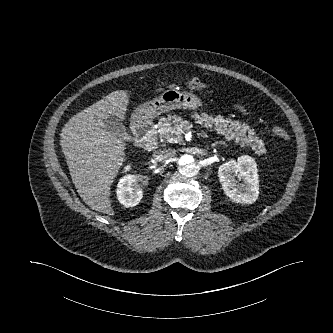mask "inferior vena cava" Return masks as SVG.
Masks as SVG:
<instances>
[{
    "mask_svg": "<svg viewBox=\"0 0 333 333\" xmlns=\"http://www.w3.org/2000/svg\"><path fill=\"white\" fill-rule=\"evenodd\" d=\"M175 155V150L173 149H163L158 150L153 153V156L160 162H165L171 159Z\"/></svg>",
    "mask_w": 333,
    "mask_h": 333,
    "instance_id": "1",
    "label": "inferior vena cava"
}]
</instances>
